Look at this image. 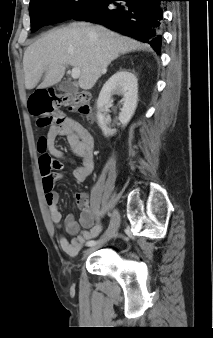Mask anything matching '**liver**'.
<instances>
[{"mask_svg":"<svg viewBox=\"0 0 213 338\" xmlns=\"http://www.w3.org/2000/svg\"><path fill=\"white\" fill-rule=\"evenodd\" d=\"M151 49L99 25L72 23L52 30L24 52L23 69L26 89L34 88L45 73L40 88L53 86L64 76L67 65L80 69L78 84L91 89L108 65L120 54Z\"/></svg>","mask_w":213,"mask_h":338,"instance_id":"obj_1","label":"liver"}]
</instances>
